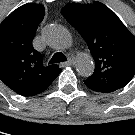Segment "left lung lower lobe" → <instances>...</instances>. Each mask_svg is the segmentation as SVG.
<instances>
[{
  "instance_id": "obj_1",
  "label": "left lung lower lobe",
  "mask_w": 135,
  "mask_h": 135,
  "mask_svg": "<svg viewBox=\"0 0 135 135\" xmlns=\"http://www.w3.org/2000/svg\"><path fill=\"white\" fill-rule=\"evenodd\" d=\"M84 83H85V85H86L89 89H91V90H93V91L100 92V93H109V92H107V91H105V90H103V89H101V88L95 87V86H93V85H91V84H88V83H86V82H84Z\"/></svg>"
}]
</instances>
